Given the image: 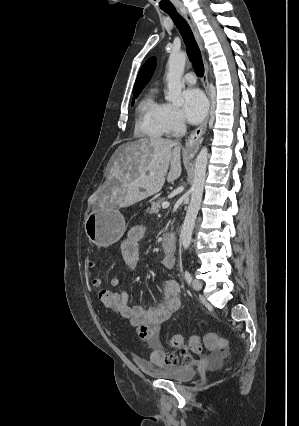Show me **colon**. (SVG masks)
Masks as SVG:
<instances>
[{
    "instance_id": "colon-1",
    "label": "colon",
    "mask_w": 299,
    "mask_h": 426,
    "mask_svg": "<svg viewBox=\"0 0 299 426\" xmlns=\"http://www.w3.org/2000/svg\"><path fill=\"white\" fill-rule=\"evenodd\" d=\"M94 284L98 286L97 296L101 304L109 310L115 311L120 302V292L113 287H107L99 279H95ZM169 343L174 348H183L194 353H200L203 347L208 349H225L227 340L216 333H206L203 337L192 336L188 341V346H184L183 337L179 334L171 336Z\"/></svg>"
}]
</instances>
